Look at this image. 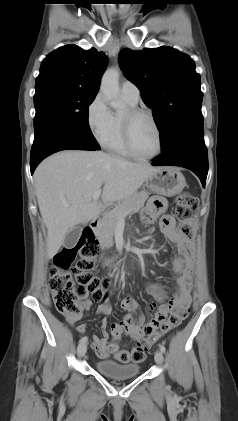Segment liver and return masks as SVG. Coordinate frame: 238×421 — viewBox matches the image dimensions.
Returning <instances> with one entry per match:
<instances>
[{
    "label": "liver",
    "instance_id": "obj_1",
    "mask_svg": "<svg viewBox=\"0 0 238 421\" xmlns=\"http://www.w3.org/2000/svg\"><path fill=\"white\" fill-rule=\"evenodd\" d=\"M157 169L103 151L67 150L45 159L34 173V183L47 227L48 258L59 251L71 229L101 214L102 205L92 201L96 190L103 186L104 204L124 200Z\"/></svg>",
    "mask_w": 238,
    "mask_h": 421
}]
</instances>
